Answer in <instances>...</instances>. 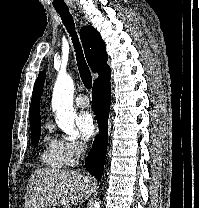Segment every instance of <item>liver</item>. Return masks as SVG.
Masks as SVG:
<instances>
[{
    "instance_id": "1",
    "label": "liver",
    "mask_w": 199,
    "mask_h": 208,
    "mask_svg": "<svg viewBox=\"0 0 199 208\" xmlns=\"http://www.w3.org/2000/svg\"><path fill=\"white\" fill-rule=\"evenodd\" d=\"M96 183L78 171L37 169L29 179L25 208L80 205L94 192Z\"/></svg>"
}]
</instances>
